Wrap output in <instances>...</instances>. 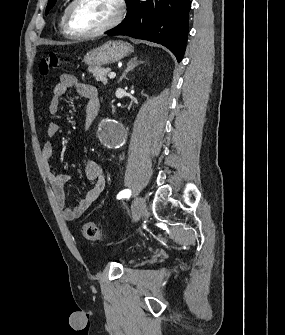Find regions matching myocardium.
Here are the masks:
<instances>
[{
  "label": "myocardium",
  "instance_id": "1",
  "mask_svg": "<svg viewBox=\"0 0 285 335\" xmlns=\"http://www.w3.org/2000/svg\"><path fill=\"white\" fill-rule=\"evenodd\" d=\"M85 1H72L68 13H67V31L70 36L74 38H93L102 35L103 33L109 31L113 27H115L123 18L124 16V4L125 1H111L112 5L114 6L115 13L112 19L105 24L102 28L93 31H85L81 30L76 26L75 23V14L77 8L80 4L84 3Z\"/></svg>",
  "mask_w": 285,
  "mask_h": 335
}]
</instances>
